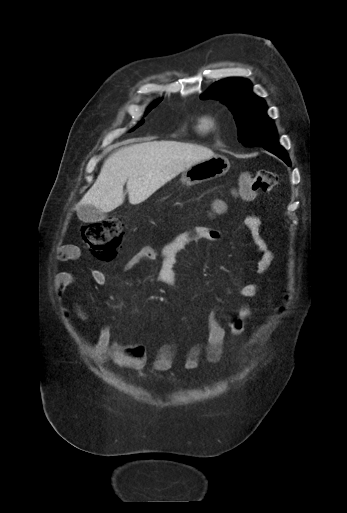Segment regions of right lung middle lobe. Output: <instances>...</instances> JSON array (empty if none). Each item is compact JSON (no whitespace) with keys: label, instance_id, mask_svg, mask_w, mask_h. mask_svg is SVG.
Returning a JSON list of instances; mask_svg holds the SVG:
<instances>
[{"label":"right lung middle lobe","instance_id":"right-lung-middle-lobe-1","mask_svg":"<svg viewBox=\"0 0 347 513\" xmlns=\"http://www.w3.org/2000/svg\"><path fill=\"white\" fill-rule=\"evenodd\" d=\"M158 103H159V102H155L153 106L157 105ZM149 111H150V110H148V112H149ZM143 122H144V120H142V121H141V123H140V124H138V126H136L133 130H135L137 127H139L141 124H143ZM133 130H132V131H133Z\"/></svg>","mask_w":347,"mask_h":513}]
</instances>
